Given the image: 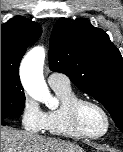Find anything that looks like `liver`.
Here are the masks:
<instances>
[{"mask_svg":"<svg viewBox=\"0 0 123 152\" xmlns=\"http://www.w3.org/2000/svg\"><path fill=\"white\" fill-rule=\"evenodd\" d=\"M1 152H84L71 142L1 127Z\"/></svg>","mask_w":123,"mask_h":152,"instance_id":"1","label":"liver"}]
</instances>
